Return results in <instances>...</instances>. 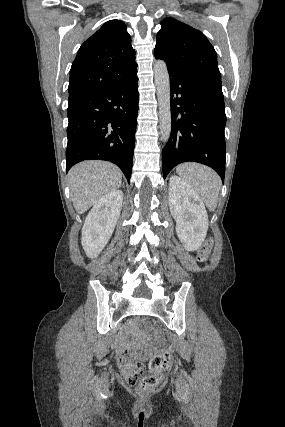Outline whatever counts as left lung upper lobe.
<instances>
[{
	"mask_svg": "<svg viewBox=\"0 0 285 427\" xmlns=\"http://www.w3.org/2000/svg\"><path fill=\"white\" fill-rule=\"evenodd\" d=\"M161 26L154 55L169 72L221 84L216 51L203 33L173 18H165Z\"/></svg>",
	"mask_w": 285,
	"mask_h": 427,
	"instance_id": "obj_1",
	"label": "left lung upper lobe"
}]
</instances>
